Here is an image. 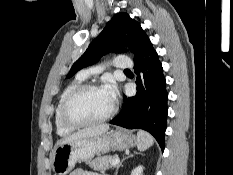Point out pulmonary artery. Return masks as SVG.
Returning <instances> with one entry per match:
<instances>
[{
    "mask_svg": "<svg viewBox=\"0 0 233 175\" xmlns=\"http://www.w3.org/2000/svg\"><path fill=\"white\" fill-rule=\"evenodd\" d=\"M114 66L119 69H129L133 66V62L124 55H118L114 59ZM100 67H95L92 69L82 70L79 72L78 77L81 79H86L90 73L99 72Z\"/></svg>",
    "mask_w": 233,
    "mask_h": 175,
    "instance_id": "pulmonary-artery-1",
    "label": "pulmonary artery"
}]
</instances>
